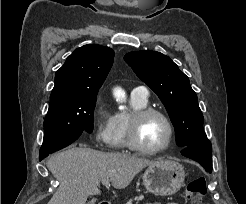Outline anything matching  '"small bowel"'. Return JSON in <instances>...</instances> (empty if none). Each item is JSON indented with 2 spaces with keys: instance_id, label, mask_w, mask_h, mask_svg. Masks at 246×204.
I'll return each instance as SVG.
<instances>
[{
  "instance_id": "c3829d8e",
  "label": "small bowel",
  "mask_w": 246,
  "mask_h": 204,
  "mask_svg": "<svg viewBox=\"0 0 246 204\" xmlns=\"http://www.w3.org/2000/svg\"><path fill=\"white\" fill-rule=\"evenodd\" d=\"M146 204H159V203H146ZM167 204H177V203H167Z\"/></svg>"
}]
</instances>
